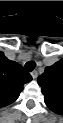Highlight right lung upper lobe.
Segmentation results:
<instances>
[{"label": "right lung upper lobe", "mask_w": 63, "mask_h": 123, "mask_svg": "<svg viewBox=\"0 0 63 123\" xmlns=\"http://www.w3.org/2000/svg\"><path fill=\"white\" fill-rule=\"evenodd\" d=\"M5 60V68L0 75V95L3 103L10 104L15 101L20 92L23 90V85L31 81L32 77L26 73L23 67L7 58Z\"/></svg>", "instance_id": "right-lung-upper-lobe-1"}]
</instances>
